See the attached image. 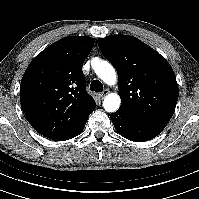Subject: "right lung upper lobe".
Here are the masks:
<instances>
[{"label": "right lung upper lobe", "mask_w": 199, "mask_h": 199, "mask_svg": "<svg viewBox=\"0 0 199 199\" xmlns=\"http://www.w3.org/2000/svg\"><path fill=\"white\" fill-rule=\"evenodd\" d=\"M95 39L70 36L39 53L21 81L20 101L28 121L41 135L61 140L79 131L96 103L85 90L82 65Z\"/></svg>", "instance_id": "right-lung-upper-lobe-1"}]
</instances>
